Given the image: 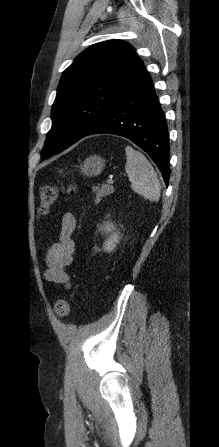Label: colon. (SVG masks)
<instances>
[{"instance_id":"1","label":"colon","mask_w":219,"mask_h":447,"mask_svg":"<svg viewBox=\"0 0 219 447\" xmlns=\"http://www.w3.org/2000/svg\"><path fill=\"white\" fill-rule=\"evenodd\" d=\"M76 191L74 184H69L65 187L58 186H44L40 192L39 212L45 215L49 212L53 202L58 195L63 193L72 194ZM71 303L67 299H59L55 302L54 310L57 316L66 317L70 313Z\"/></svg>"}]
</instances>
